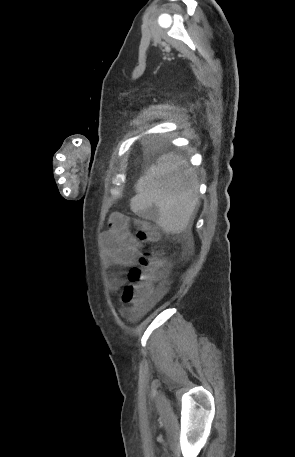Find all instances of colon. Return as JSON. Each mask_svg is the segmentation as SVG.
Here are the masks:
<instances>
[{
  "mask_svg": "<svg viewBox=\"0 0 295 457\" xmlns=\"http://www.w3.org/2000/svg\"><path fill=\"white\" fill-rule=\"evenodd\" d=\"M137 238L153 246L158 243L160 235L157 228L147 220H136ZM164 266L163 259L152 248L139 258L138 266L128 271V284L122 293V302L125 312L130 316H136L145 307L153 290V282L157 280Z\"/></svg>",
  "mask_w": 295,
  "mask_h": 457,
  "instance_id": "1",
  "label": "colon"
}]
</instances>
